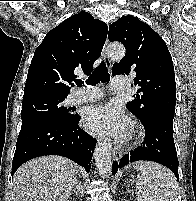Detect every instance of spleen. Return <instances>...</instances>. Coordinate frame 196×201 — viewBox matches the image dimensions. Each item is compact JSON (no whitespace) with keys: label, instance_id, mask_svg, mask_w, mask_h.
<instances>
[{"label":"spleen","instance_id":"3e777b00","mask_svg":"<svg viewBox=\"0 0 196 201\" xmlns=\"http://www.w3.org/2000/svg\"><path fill=\"white\" fill-rule=\"evenodd\" d=\"M134 168L141 172L136 182L137 201H176L177 182L169 169L149 161L136 162Z\"/></svg>","mask_w":196,"mask_h":201}]
</instances>
